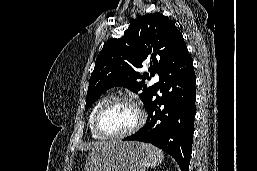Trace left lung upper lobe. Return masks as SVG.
Returning <instances> with one entry per match:
<instances>
[{
    "label": "left lung upper lobe",
    "instance_id": "obj_1",
    "mask_svg": "<svg viewBox=\"0 0 257 171\" xmlns=\"http://www.w3.org/2000/svg\"><path fill=\"white\" fill-rule=\"evenodd\" d=\"M186 46L175 24L161 13L146 14L131 22L123 37L107 41L96 61L87 91L85 108L107 89L123 86L138 93L145 105L152 98L156 84L145 85L155 73L161 74L170 55ZM150 63L148 73L138 71Z\"/></svg>",
    "mask_w": 257,
    "mask_h": 171
}]
</instances>
